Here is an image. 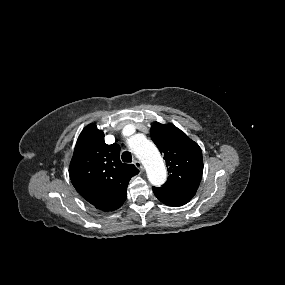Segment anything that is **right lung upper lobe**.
<instances>
[{
    "label": "right lung upper lobe",
    "mask_w": 285,
    "mask_h": 285,
    "mask_svg": "<svg viewBox=\"0 0 285 285\" xmlns=\"http://www.w3.org/2000/svg\"><path fill=\"white\" fill-rule=\"evenodd\" d=\"M139 173L120 161L118 144L107 145L94 124L81 132L69 167L71 182L92 207L105 212L120 208L127 198L129 180Z\"/></svg>",
    "instance_id": "1"
}]
</instances>
